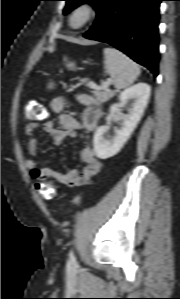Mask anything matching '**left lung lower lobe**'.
Instances as JSON below:
<instances>
[{"label":"left lung lower lobe","mask_w":180,"mask_h":299,"mask_svg":"<svg viewBox=\"0 0 180 299\" xmlns=\"http://www.w3.org/2000/svg\"><path fill=\"white\" fill-rule=\"evenodd\" d=\"M164 0H102L84 37L106 42L158 75L159 5Z\"/></svg>","instance_id":"left-lung-lower-lobe-1"}]
</instances>
